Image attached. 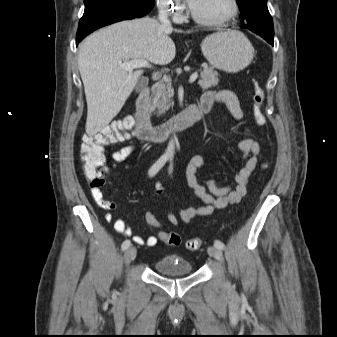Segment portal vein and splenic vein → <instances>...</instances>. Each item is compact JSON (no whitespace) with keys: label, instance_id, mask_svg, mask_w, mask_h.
<instances>
[{"label":"portal vein and splenic vein","instance_id":"18ae733b","mask_svg":"<svg viewBox=\"0 0 337 337\" xmlns=\"http://www.w3.org/2000/svg\"><path fill=\"white\" fill-rule=\"evenodd\" d=\"M120 67L125 70H133L136 68H151L152 66L146 60H131L120 63ZM197 78L198 73L195 72L190 76L189 82L193 83Z\"/></svg>","mask_w":337,"mask_h":337}]
</instances>
